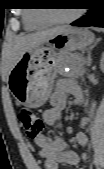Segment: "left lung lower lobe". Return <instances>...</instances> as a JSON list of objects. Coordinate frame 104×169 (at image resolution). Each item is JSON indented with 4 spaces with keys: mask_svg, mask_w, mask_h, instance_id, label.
Wrapping results in <instances>:
<instances>
[{
    "mask_svg": "<svg viewBox=\"0 0 104 169\" xmlns=\"http://www.w3.org/2000/svg\"><path fill=\"white\" fill-rule=\"evenodd\" d=\"M89 12L81 19L73 22L72 26L80 27H104V10L100 7L99 3H94Z\"/></svg>",
    "mask_w": 104,
    "mask_h": 169,
    "instance_id": "obj_1",
    "label": "left lung lower lobe"
}]
</instances>
